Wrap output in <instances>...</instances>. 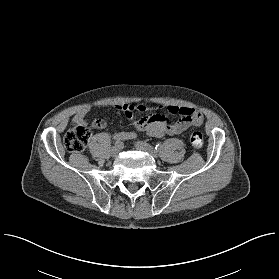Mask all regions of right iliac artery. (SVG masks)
<instances>
[{"label":"right iliac artery","mask_w":279,"mask_h":279,"mask_svg":"<svg viewBox=\"0 0 279 279\" xmlns=\"http://www.w3.org/2000/svg\"><path fill=\"white\" fill-rule=\"evenodd\" d=\"M115 145L118 146L119 148H121L122 147V142L119 141V140H116Z\"/></svg>","instance_id":"obj_1"}]
</instances>
